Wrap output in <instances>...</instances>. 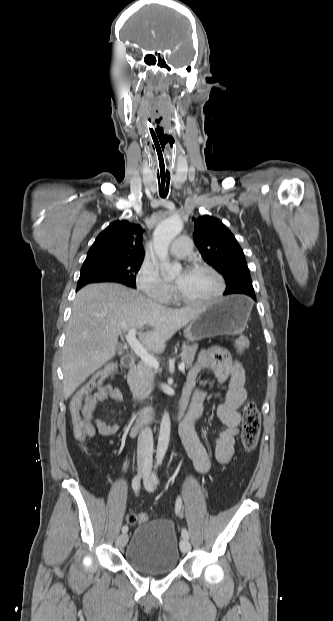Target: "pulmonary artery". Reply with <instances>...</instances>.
<instances>
[{
  "mask_svg": "<svg viewBox=\"0 0 333 621\" xmlns=\"http://www.w3.org/2000/svg\"><path fill=\"white\" fill-rule=\"evenodd\" d=\"M191 250V240L186 236L178 237L170 247V253L178 258L189 256Z\"/></svg>",
  "mask_w": 333,
  "mask_h": 621,
  "instance_id": "pulmonary-artery-1",
  "label": "pulmonary artery"
}]
</instances>
